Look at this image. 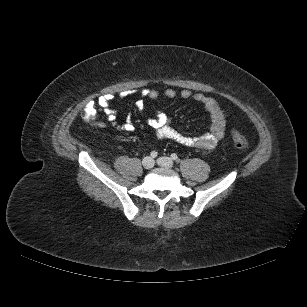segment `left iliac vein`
Segmentation results:
<instances>
[{
  "label": "left iliac vein",
  "instance_id": "1",
  "mask_svg": "<svg viewBox=\"0 0 307 307\" xmlns=\"http://www.w3.org/2000/svg\"><path fill=\"white\" fill-rule=\"evenodd\" d=\"M157 163L165 168H171L174 165L173 160L169 157H160L157 159Z\"/></svg>",
  "mask_w": 307,
  "mask_h": 307
}]
</instances>
